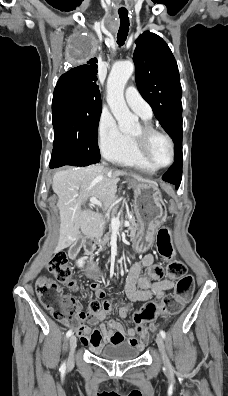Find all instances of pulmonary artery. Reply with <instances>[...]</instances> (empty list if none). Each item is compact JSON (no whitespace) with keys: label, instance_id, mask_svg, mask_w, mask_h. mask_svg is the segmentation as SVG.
Returning a JSON list of instances; mask_svg holds the SVG:
<instances>
[{"label":"pulmonary artery","instance_id":"e3ab8cb5","mask_svg":"<svg viewBox=\"0 0 228 396\" xmlns=\"http://www.w3.org/2000/svg\"><path fill=\"white\" fill-rule=\"evenodd\" d=\"M125 99L129 107L143 118H151L152 109L134 86L127 87Z\"/></svg>","mask_w":228,"mask_h":396}]
</instances>
